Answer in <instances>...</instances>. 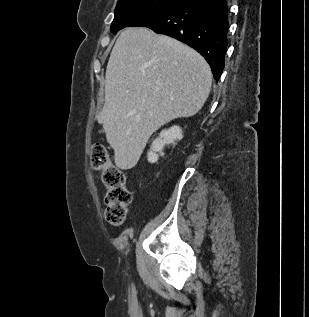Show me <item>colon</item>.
<instances>
[{
    "instance_id": "obj_1",
    "label": "colon",
    "mask_w": 309,
    "mask_h": 317,
    "mask_svg": "<svg viewBox=\"0 0 309 317\" xmlns=\"http://www.w3.org/2000/svg\"><path fill=\"white\" fill-rule=\"evenodd\" d=\"M90 164L94 170L101 171L102 182L107 190L105 218L111 225L119 226L125 220L132 200V194L126 186V176L111 162L106 148L100 143L91 147Z\"/></svg>"
}]
</instances>
